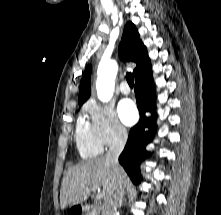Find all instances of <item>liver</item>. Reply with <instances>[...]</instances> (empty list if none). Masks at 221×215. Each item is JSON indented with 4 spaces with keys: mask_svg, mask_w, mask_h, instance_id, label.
I'll use <instances>...</instances> for the list:
<instances>
[{
    "mask_svg": "<svg viewBox=\"0 0 221 215\" xmlns=\"http://www.w3.org/2000/svg\"><path fill=\"white\" fill-rule=\"evenodd\" d=\"M121 175L125 183L127 176L122 168ZM114 185L113 171L106 157L82 162L69 168L63 177L60 207L64 210L68 205H81L88 199L92 190L100 188L99 196L106 202L113 194Z\"/></svg>",
    "mask_w": 221,
    "mask_h": 215,
    "instance_id": "liver-1",
    "label": "liver"
}]
</instances>
